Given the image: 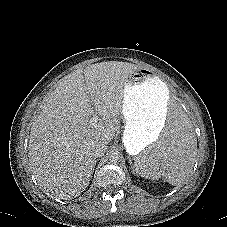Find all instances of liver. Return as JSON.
<instances>
[{
	"mask_svg": "<svg viewBox=\"0 0 227 227\" xmlns=\"http://www.w3.org/2000/svg\"><path fill=\"white\" fill-rule=\"evenodd\" d=\"M138 68L101 62L65 76L44 100L32 124L29 164L40 186L61 199L79 196L95 168L93 147L110 143L120 128L124 91ZM102 116L90 124L94 113Z\"/></svg>",
	"mask_w": 227,
	"mask_h": 227,
	"instance_id": "liver-1",
	"label": "liver"
}]
</instances>
